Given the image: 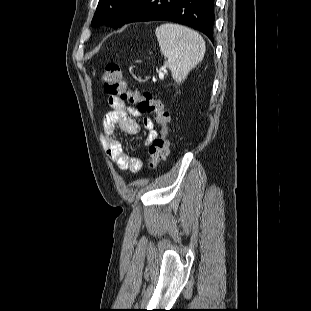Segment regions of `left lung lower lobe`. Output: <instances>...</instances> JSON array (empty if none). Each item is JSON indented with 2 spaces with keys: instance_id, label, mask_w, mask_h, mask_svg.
Masks as SVG:
<instances>
[{
  "instance_id": "1",
  "label": "left lung lower lobe",
  "mask_w": 311,
  "mask_h": 311,
  "mask_svg": "<svg viewBox=\"0 0 311 311\" xmlns=\"http://www.w3.org/2000/svg\"><path fill=\"white\" fill-rule=\"evenodd\" d=\"M214 19V0H134L118 27L132 22L171 21L192 27L213 40Z\"/></svg>"
}]
</instances>
